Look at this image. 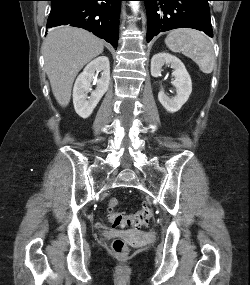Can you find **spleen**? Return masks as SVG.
<instances>
[{"mask_svg": "<svg viewBox=\"0 0 250 285\" xmlns=\"http://www.w3.org/2000/svg\"><path fill=\"white\" fill-rule=\"evenodd\" d=\"M165 43L171 51L191 58L203 73L210 74L213 71V44L204 33L194 29H176L167 35Z\"/></svg>", "mask_w": 250, "mask_h": 285, "instance_id": "spleen-1", "label": "spleen"}]
</instances>
